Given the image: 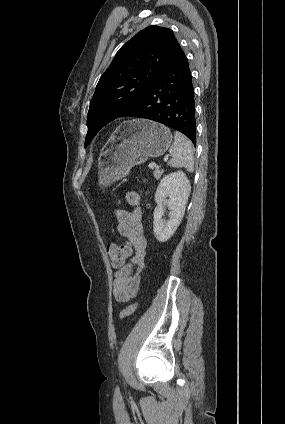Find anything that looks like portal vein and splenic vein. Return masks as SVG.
Segmentation results:
<instances>
[{"label":"portal vein and splenic vein","mask_w":285,"mask_h":424,"mask_svg":"<svg viewBox=\"0 0 285 424\" xmlns=\"http://www.w3.org/2000/svg\"><path fill=\"white\" fill-rule=\"evenodd\" d=\"M149 167L150 168H155V167H157V165H156V163L152 162V163H150Z\"/></svg>","instance_id":"1"}]
</instances>
